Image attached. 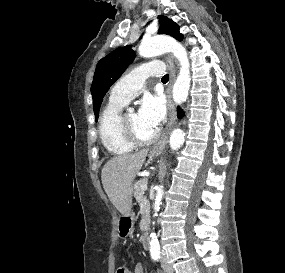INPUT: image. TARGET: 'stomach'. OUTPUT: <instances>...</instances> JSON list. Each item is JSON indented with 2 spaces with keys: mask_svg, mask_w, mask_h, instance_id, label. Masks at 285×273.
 Masks as SVG:
<instances>
[{
  "mask_svg": "<svg viewBox=\"0 0 285 273\" xmlns=\"http://www.w3.org/2000/svg\"><path fill=\"white\" fill-rule=\"evenodd\" d=\"M133 221H134V214H130L129 216H124L123 219H121V222L119 224V233L122 236H127L130 234L133 228Z\"/></svg>",
  "mask_w": 285,
  "mask_h": 273,
  "instance_id": "obj_1",
  "label": "stomach"
}]
</instances>
